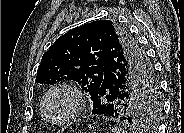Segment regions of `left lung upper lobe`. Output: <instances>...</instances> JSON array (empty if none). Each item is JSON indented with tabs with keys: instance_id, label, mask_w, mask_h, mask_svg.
<instances>
[{
	"instance_id": "5c2ea615",
	"label": "left lung upper lobe",
	"mask_w": 184,
	"mask_h": 133,
	"mask_svg": "<svg viewBox=\"0 0 184 133\" xmlns=\"http://www.w3.org/2000/svg\"><path fill=\"white\" fill-rule=\"evenodd\" d=\"M111 58L123 66L127 76L128 95L118 118L131 124H148L160 111L158 82L144 51L117 22L96 20L60 36L43 54L36 82L53 85L73 80L93 95L104 80V68ZM148 81L152 95L142 90Z\"/></svg>"
}]
</instances>
